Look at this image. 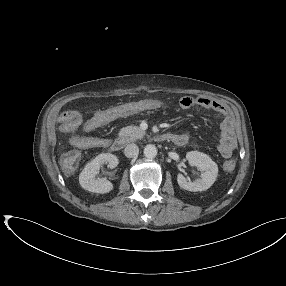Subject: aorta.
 Instances as JSON below:
<instances>
[{
	"label": "aorta",
	"instance_id": "762f6f07",
	"mask_svg": "<svg viewBox=\"0 0 286 286\" xmlns=\"http://www.w3.org/2000/svg\"><path fill=\"white\" fill-rule=\"evenodd\" d=\"M144 156L149 159H153L157 156V148L155 145L148 144L144 148Z\"/></svg>",
	"mask_w": 286,
	"mask_h": 286
}]
</instances>
